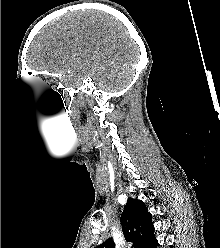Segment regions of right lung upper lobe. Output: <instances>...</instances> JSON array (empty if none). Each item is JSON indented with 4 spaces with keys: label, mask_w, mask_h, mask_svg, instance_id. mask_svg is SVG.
<instances>
[{
    "label": "right lung upper lobe",
    "mask_w": 220,
    "mask_h": 248,
    "mask_svg": "<svg viewBox=\"0 0 220 248\" xmlns=\"http://www.w3.org/2000/svg\"><path fill=\"white\" fill-rule=\"evenodd\" d=\"M151 214L141 200L129 198L120 222L127 242H133L132 248H150L156 241ZM97 248H115L112 239H108Z\"/></svg>",
    "instance_id": "obj_1"
}]
</instances>
